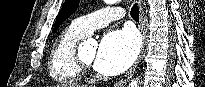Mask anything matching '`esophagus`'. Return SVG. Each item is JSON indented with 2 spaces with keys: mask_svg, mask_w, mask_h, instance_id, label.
Instances as JSON below:
<instances>
[{
  "mask_svg": "<svg viewBox=\"0 0 205 87\" xmlns=\"http://www.w3.org/2000/svg\"><path fill=\"white\" fill-rule=\"evenodd\" d=\"M138 3V7H139V16H140V21H139V28L142 34V38H143V44L141 47V51L140 54L137 58V60L135 61L134 65L130 68V70L124 75V77L118 81L115 85V87H124L126 85V83L128 82V80L131 78V76L133 75L135 69L137 68L142 55H143V51H144V47L146 44V31H145V15H144V9H143V5H142V1L141 0H137Z\"/></svg>",
  "mask_w": 205,
  "mask_h": 87,
  "instance_id": "esophagus-1",
  "label": "esophagus"
}]
</instances>
